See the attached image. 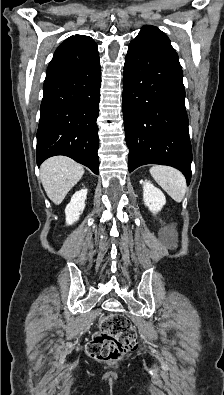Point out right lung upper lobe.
Wrapping results in <instances>:
<instances>
[{"label": "right lung upper lobe", "mask_w": 224, "mask_h": 395, "mask_svg": "<svg viewBox=\"0 0 224 395\" xmlns=\"http://www.w3.org/2000/svg\"><path fill=\"white\" fill-rule=\"evenodd\" d=\"M74 37L80 48H82L85 51H96L97 50V45L96 43L88 36H72Z\"/></svg>", "instance_id": "cb5924a9"}]
</instances>
